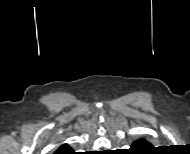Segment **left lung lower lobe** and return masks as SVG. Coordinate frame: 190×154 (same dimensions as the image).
I'll return each instance as SVG.
<instances>
[{
  "label": "left lung lower lobe",
  "mask_w": 190,
  "mask_h": 154,
  "mask_svg": "<svg viewBox=\"0 0 190 154\" xmlns=\"http://www.w3.org/2000/svg\"><path fill=\"white\" fill-rule=\"evenodd\" d=\"M147 146H148V143L146 141L139 140V141L133 143L131 149L141 151V150L147 149L148 148Z\"/></svg>",
  "instance_id": "obj_1"
}]
</instances>
